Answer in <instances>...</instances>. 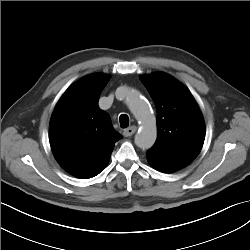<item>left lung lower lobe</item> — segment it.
Wrapping results in <instances>:
<instances>
[{
  "label": "left lung lower lobe",
  "instance_id": "obj_1",
  "mask_svg": "<svg viewBox=\"0 0 250 250\" xmlns=\"http://www.w3.org/2000/svg\"><path fill=\"white\" fill-rule=\"evenodd\" d=\"M147 160L155 169L164 173L180 170L193 161L190 158L169 157L151 151H147Z\"/></svg>",
  "mask_w": 250,
  "mask_h": 250
}]
</instances>
